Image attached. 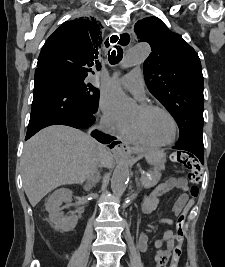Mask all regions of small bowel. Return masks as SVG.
I'll use <instances>...</instances> for the list:
<instances>
[{"mask_svg": "<svg viewBox=\"0 0 225 267\" xmlns=\"http://www.w3.org/2000/svg\"><path fill=\"white\" fill-rule=\"evenodd\" d=\"M173 188L184 192L178 198L173 208V213L179 214L187 202V195L185 194V192L188 189V185L186 179L183 177H172L160 184L150 195L145 198L142 205V211L146 214L152 213L158 205L159 197ZM161 221L169 224L172 223V220L166 218L162 219ZM176 241V233H174L172 230H167L163 234L162 239L155 241L154 246L157 251L154 258L157 264L159 261L167 260L169 258L171 252L173 251L176 245ZM164 244L165 247L163 248ZM138 245L142 251H148V236L145 232H142L140 234Z\"/></svg>", "mask_w": 225, "mask_h": 267, "instance_id": "c3829d8e", "label": "small bowel"}]
</instances>
